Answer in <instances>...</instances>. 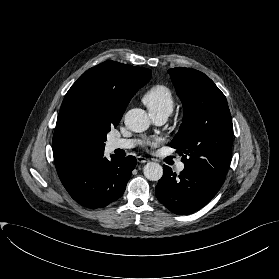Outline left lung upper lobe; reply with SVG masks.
Here are the masks:
<instances>
[{
	"mask_svg": "<svg viewBox=\"0 0 279 279\" xmlns=\"http://www.w3.org/2000/svg\"><path fill=\"white\" fill-rule=\"evenodd\" d=\"M184 108L183 123L170 143L185 155L186 169L223 184L231 161L233 124L224 94L204 73L168 70Z\"/></svg>",
	"mask_w": 279,
	"mask_h": 279,
	"instance_id": "5c2ea615",
	"label": "left lung upper lobe"
}]
</instances>
